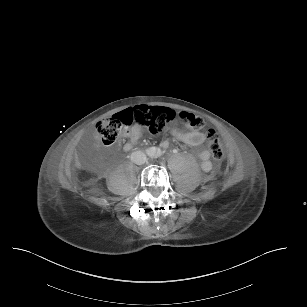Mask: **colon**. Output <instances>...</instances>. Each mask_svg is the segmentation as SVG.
<instances>
[{
  "instance_id": "5ec220e1",
  "label": "colon",
  "mask_w": 307,
  "mask_h": 307,
  "mask_svg": "<svg viewBox=\"0 0 307 307\" xmlns=\"http://www.w3.org/2000/svg\"><path fill=\"white\" fill-rule=\"evenodd\" d=\"M177 117L185 126L195 130H200L205 126V121L201 117L188 111L176 112L166 107L138 106L101 119L96 125V138L101 145L111 146L123 128L134 122L145 127L149 133L159 135L165 126ZM205 138L212 157L222 159L224 150L220 133L210 128L206 130Z\"/></svg>"
}]
</instances>
